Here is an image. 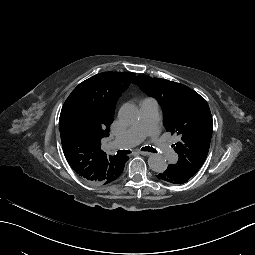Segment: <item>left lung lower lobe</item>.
Instances as JSON below:
<instances>
[{"label":"left lung lower lobe","mask_w":255,"mask_h":255,"mask_svg":"<svg viewBox=\"0 0 255 255\" xmlns=\"http://www.w3.org/2000/svg\"><path fill=\"white\" fill-rule=\"evenodd\" d=\"M157 178L162 182H166L169 179L175 184H183L188 181L189 176L177 172L175 167L168 165L157 175Z\"/></svg>","instance_id":"left-lung-lower-lobe-1"}]
</instances>
